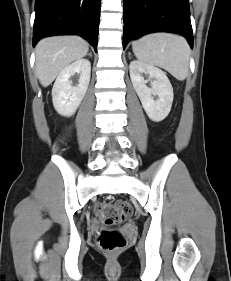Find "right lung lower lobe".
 Instances as JSON below:
<instances>
[{"instance_id": "right-lung-lower-lobe-1", "label": "right lung lower lobe", "mask_w": 231, "mask_h": 281, "mask_svg": "<svg viewBox=\"0 0 231 281\" xmlns=\"http://www.w3.org/2000/svg\"><path fill=\"white\" fill-rule=\"evenodd\" d=\"M101 0H36L33 46L46 36L75 34L97 51Z\"/></svg>"}]
</instances>
